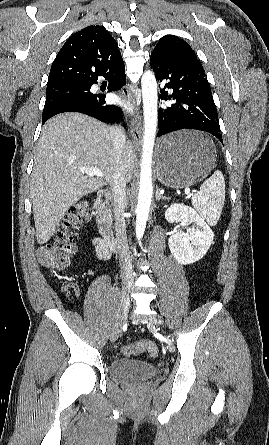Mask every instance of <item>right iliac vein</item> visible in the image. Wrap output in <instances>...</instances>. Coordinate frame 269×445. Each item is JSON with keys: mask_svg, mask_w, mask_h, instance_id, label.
I'll use <instances>...</instances> for the list:
<instances>
[{"mask_svg": "<svg viewBox=\"0 0 269 445\" xmlns=\"http://www.w3.org/2000/svg\"><path fill=\"white\" fill-rule=\"evenodd\" d=\"M129 305H130L129 292L124 290L119 299L117 315L110 335V339L112 342L116 341L120 336L122 326L127 316Z\"/></svg>", "mask_w": 269, "mask_h": 445, "instance_id": "right-iliac-vein-1", "label": "right iliac vein"}]
</instances>
